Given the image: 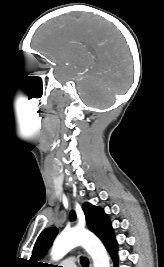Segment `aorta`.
Here are the masks:
<instances>
[{"label": "aorta", "mask_w": 164, "mask_h": 267, "mask_svg": "<svg viewBox=\"0 0 164 267\" xmlns=\"http://www.w3.org/2000/svg\"><path fill=\"white\" fill-rule=\"evenodd\" d=\"M82 246L93 260L94 267H110L108 253L102 242L91 232L70 229L63 231L55 240L51 256L54 261L63 258L70 250Z\"/></svg>", "instance_id": "1"}]
</instances>
